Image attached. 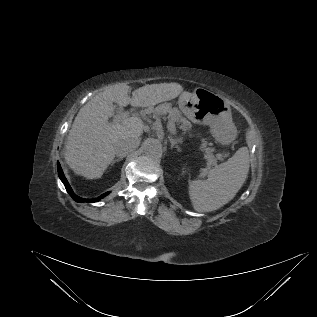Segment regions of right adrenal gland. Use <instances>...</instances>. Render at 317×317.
<instances>
[{"label": "right adrenal gland", "instance_id": "1", "mask_svg": "<svg viewBox=\"0 0 317 317\" xmlns=\"http://www.w3.org/2000/svg\"><path fill=\"white\" fill-rule=\"evenodd\" d=\"M122 159H123V157L114 159V160L112 161V163H111V166H113L116 162H118V161H120V160H122Z\"/></svg>", "mask_w": 317, "mask_h": 317}]
</instances>
